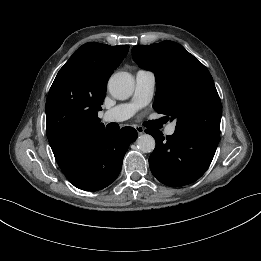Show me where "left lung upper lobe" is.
<instances>
[{
    "label": "left lung upper lobe",
    "mask_w": 261,
    "mask_h": 261,
    "mask_svg": "<svg viewBox=\"0 0 261 261\" xmlns=\"http://www.w3.org/2000/svg\"><path fill=\"white\" fill-rule=\"evenodd\" d=\"M134 61L153 71L157 92L153 107L176 120V131L220 137L222 106L208 69L183 46L163 41L134 46Z\"/></svg>",
    "instance_id": "1"
}]
</instances>
